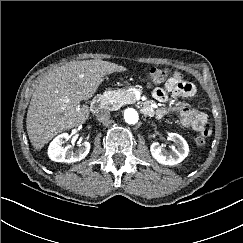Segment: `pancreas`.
Here are the masks:
<instances>
[{"instance_id": "obj_1", "label": "pancreas", "mask_w": 243, "mask_h": 243, "mask_svg": "<svg viewBox=\"0 0 243 243\" xmlns=\"http://www.w3.org/2000/svg\"><path fill=\"white\" fill-rule=\"evenodd\" d=\"M103 99L108 108L117 110L123 105L133 103L135 94L131 90H111L104 93Z\"/></svg>"}]
</instances>
